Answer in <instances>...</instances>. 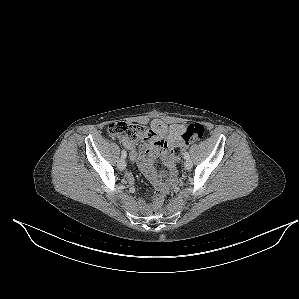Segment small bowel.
I'll return each instance as SVG.
<instances>
[{"label":"small bowel","instance_id":"small-bowel-1","mask_svg":"<svg viewBox=\"0 0 299 299\" xmlns=\"http://www.w3.org/2000/svg\"><path fill=\"white\" fill-rule=\"evenodd\" d=\"M186 127L185 124H166L161 119H154L139 150L136 149L135 143L121 140L122 144L130 151V159L138 164L142 173L155 188L162 186L164 178H168L171 182L174 181L177 163L174 148L185 149L187 147L188 144L184 142L182 137ZM158 160L162 161L168 172L158 173L156 171L155 163ZM126 177L129 182H132L131 174H127ZM139 205L141 208H146L142 199L139 200Z\"/></svg>","mask_w":299,"mask_h":299}]
</instances>
